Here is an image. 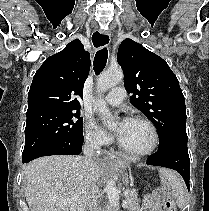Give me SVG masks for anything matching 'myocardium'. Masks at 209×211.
I'll return each mask as SVG.
<instances>
[{
	"mask_svg": "<svg viewBox=\"0 0 209 211\" xmlns=\"http://www.w3.org/2000/svg\"><path fill=\"white\" fill-rule=\"evenodd\" d=\"M132 121L140 122L149 129L151 135L150 144L142 150H130L118 142V148L125 154L132 157H144L150 155L157 148L159 142V135L156 126L151 120L143 116H135L132 118Z\"/></svg>",
	"mask_w": 209,
	"mask_h": 211,
	"instance_id": "f54148a6",
	"label": "myocardium"
}]
</instances>
